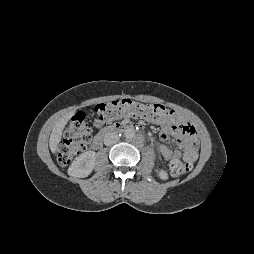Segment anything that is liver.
Instances as JSON below:
<instances>
[{"label":"liver","mask_w":254,"mask_h":254,"mask_svg":"<svg viewBox=\"0 0 254 254\" xmlns=\"http://www.w3.org/2000/svg\"><path fill=\"white\" fill-rule=\"evenodd\" d=\"M73 114L74 112H70L69 114L65 115L64 117L59 119L56 122L55 126L53 127V130L50 134V139H49V147L52 153H56L58 144L62 138L63 129Z\"/></svg>","instance_id":"obj_1"}]
</instances>
